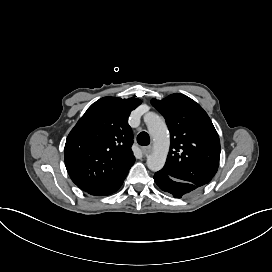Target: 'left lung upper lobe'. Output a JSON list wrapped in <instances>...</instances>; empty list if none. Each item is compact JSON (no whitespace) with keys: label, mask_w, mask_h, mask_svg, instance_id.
Instances as JSON below:
<instances>
[{"label":"left lung upper lobe","mask_w":272,"mask_h":272,"mask_svg":"<svg viewBox=\"0 0 272 272\" xmlns=\"http://www.w3.org/2000/svg\"><path fill=\"white\" fill-rule=\"evenodd\" d=\"M151 104L164 116L171 137L167 161L161 171L199 187L217 172L219 136L203 108L183 94H172Z\"/></svg>","instance_id":"obj_1"}]
</instances>
